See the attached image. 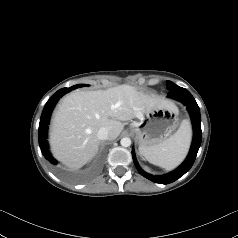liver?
<instances>
[{
	"label": "liver",
	"instance_id": "6515ba94",
	"mask_svg": "<svg viewBox=\"0 0 238 238\" xmlns=\"http://www.w3.org/2000/svg\"><path fill=\"white\" fill-rule=\"evenodd\" d=\"M168 105L173 104L130 85L73 92L62 100L55 113L51 150L66 166L78 169L97 154L100 128L106 127L108 139L114 140L123 130L121 121L141 118L151 109Z\"/></svg>",
	"mask_w": 238,
	"mask_h": 238
}]
</instances>
